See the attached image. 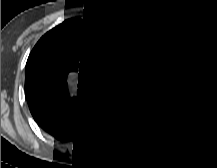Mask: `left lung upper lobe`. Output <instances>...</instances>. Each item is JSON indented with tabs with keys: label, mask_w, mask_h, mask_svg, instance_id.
Returning <instances> with one entry per match:
<instances>
[{
	"label": "left lung upper lobe",
	"mask_w": 217,
	"mask_h": 168,
	"mask_svg": "<svg viewBox=\"0 0 217 168\" xmlns=\"http://www.w3.org/2000/svg\"><path fill=\"white\" fill-rule=\"evenodd\" d=\"M149 66L140 88L147 100L179 107L183 98V58L174 35L158 24L145 22Z\"/></svg>",
	"instance_id": "obj_1"
}]
</instances>
